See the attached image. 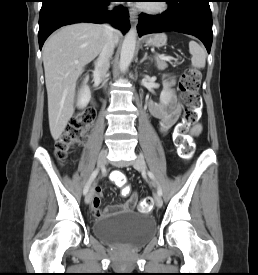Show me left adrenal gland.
<instances>
[{"mask_svg":"<svg viewBox=\"0 0 258 275\" xmlns=\"http://www.w3.org/2000/svg\"><path fill=\"white\" fill-rule=\"evenodd\" d=\"M146 59H148V53L145 52L143 58L140 60V63L144 62Z\"/></svg>","mask_w":258,"mask_h":275,"instance_id":"left-adrenal-gland-1","label":"left adrenal gland"}]
</instances>
